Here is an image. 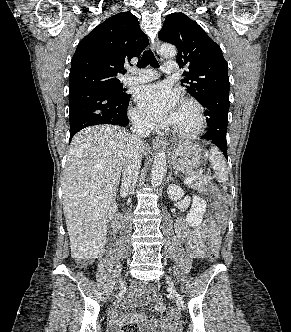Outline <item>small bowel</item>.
<instances>
[{"label":"small bowel","mask_w":291,"mask_h":332,"mask_svg":"<svg viewBox=\"0 0 291 332\" xmlns=\"http://www.w3.org/2000/svg\"><path fill=\"white\" fill-rule=\"evenodd\" d=\"M177 233L180 240L186 245L189 255L195 259H202L205 257L207 251V237L209 238L210 243L218 245L221 238L222 228L218 226L214 220L206 219L201 227L196 229H191L185 223L181 222L177 226ZM129 302H153L156 311L163 312L165 310V305L158 298L152 287L147 289L135 288L129 296ZM114 320L116 324H121L127 321H142L144 322L145 328L150 332H169L173 328L171 320L163 322L158 320L147 321L144 314L119 316L115 313Z\"/></svg>","instance_id":"obj_1"}]
</instances>
